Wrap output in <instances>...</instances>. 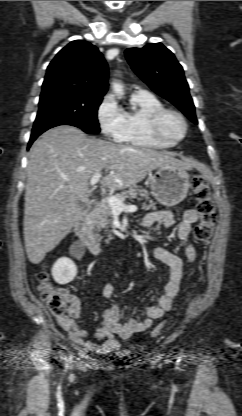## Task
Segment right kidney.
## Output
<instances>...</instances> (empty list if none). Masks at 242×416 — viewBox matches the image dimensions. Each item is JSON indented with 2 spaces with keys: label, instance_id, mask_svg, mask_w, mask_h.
<instances>
[{
  "label": "right kidney",
  "instance_id": "1",
  "mask_svg": "<svg viewBox=\"0 0 242 416\" xmlns=\"http://www.w3.org/2000/svg\"><path fill=\"white\" fill-rule=\"evenodd\" d=\"M77 274L75 263L66 257L59 258L52 267V276L56 283L64 285L71 282Z\"/></svg>",
  "mask_w": 242,
  "mask_h": 416
}]
</instances>
